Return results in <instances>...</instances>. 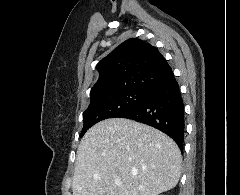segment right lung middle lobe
I'll list each match as a JSON object with an SVG mask.
<instances>
[{"label":"right lung middle lobe","mask_w":240,"mask_h":195,"mask_svg":"<svg viewBox=\"0 0 240 195\" xmlns=\"http://www.w3.org/2000/svg\"><path fill=\"white\" fill-rule=\"evenodd\" d=\"M147 92L123 90L107 96L91 99V103L83 114L84 126L81 136L97 122L119 117L138 106Z\"/></svg>","instance_id":"obj_1"}]
</instances>
